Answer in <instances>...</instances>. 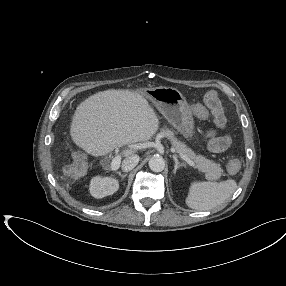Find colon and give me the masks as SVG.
Here are the masks:
<instances>
[{"label":"colon","mask_w":286,"mask_h":286,"mask_svg":"<svg viewBox=\"0 0 286 286\" xmlns=\"http://www.w3.org/2000/svg\"><path fill=\"white\" fill-rule=\"evenodd\" d=\"M205 103L206 105L208 106V108L213 111V112H220L222 111V108H221V105L217 99V97L215 96L214 93H208L206 96H205ZM203 117H206V115L204 114ZM240 168V163L238 160H230L229 163H228V170L231 172V173H235L239 170Z\"/></svg>","instance_id":"colon-1"}]
</instances>
